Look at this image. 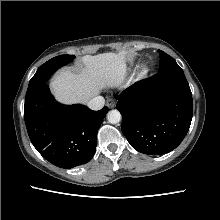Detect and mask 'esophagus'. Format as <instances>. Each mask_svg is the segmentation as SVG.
<instances>
[{
  "label": "esophagus",
  "mask_w": 220,
  "mask_h": 220,
  "mask_svg": "<svg viewBox=\"0 0 220 220\" xmlns=\"http://www.w3.org/2000/svg\"><path fill=\"white\" fill-rule=\"evenodd\" d=\"M106 105L109 108H113L115 106V102L112 99L107 100Z\"/></svg>",
  "instance_id": "obj_1"
}]
</instances>
